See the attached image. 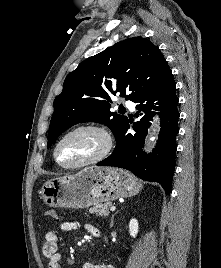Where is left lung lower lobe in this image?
Here are the masks:
<instances>
[{"label":"left lung lower lobe","mask_w":221,"mask_h":268,"mask_svg":"<svg viewBox=\"0 0 221 268\" xmlns=\"http://www.w3.org/2000/svg\"><path fill=\"white\" fill-rule=\"evenodd\" d=\"M176 83L171 77L152 93L140 98L136 109L138 122L133 124L135 134H128L129 121L115 137L116 147L113 153L97 163L98 166H114L130 170L137 177L155 181L162 185L167 194L171 192L172 177L175 168L176 135L179 112L177 109ZM155 104V105H154ZM157 105V106H156ZM153 110L160 111V135L156 148L149 155H144L142 147L145 136L155 115Z\"/></svg>","instance_id":"left-lung-lower-lobe-1"}]
</instances>
